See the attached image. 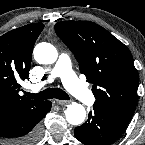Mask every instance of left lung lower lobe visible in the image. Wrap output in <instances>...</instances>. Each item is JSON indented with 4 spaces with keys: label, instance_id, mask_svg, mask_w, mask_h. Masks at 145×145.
I'll list each match as a JSON object with an SVG mask.
<instances>
[{
    "label": "left lung lower lobe",
    "instance_id": "left-lung-lower-lobe-1",
    "mask_svg": "<svg viewBox=\"0 0 145 145\" xmlns=\"http://www.w3.org/2000/svg\"><path fill=\"white\" fill-rule=\"evenodd\" d=\"M127 123L96 109L89 113L87 122L76 127L75 137L85 145H110L125 131Z\"/></svg>",
    "mask_w": 145,
    "mask_h": 145
}]
</instances>
